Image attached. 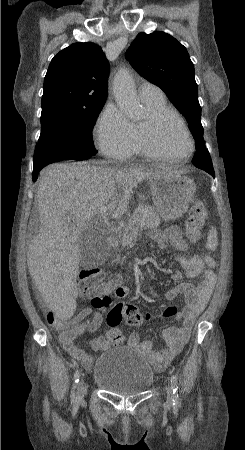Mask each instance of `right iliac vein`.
Listing matches in <instances>:
<instances>
[{
    "label": "right iliac vein",
    "instance_id": "1",
    "mask_svg": "<svg viewBox=\"0 0 245 450\" xmlns=\"http://www.w3.org/2000/svg\"><path fill=\"white\" fill-rule=\"evenodd\" d=\"M87 392V386L83 379L79 382V388H78V400H82Z\"/></svg>",
    "mask_w": 245,
    "mask_h": 450
}]
</instances>
